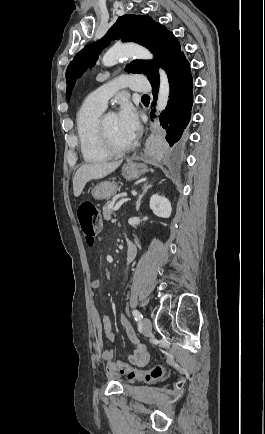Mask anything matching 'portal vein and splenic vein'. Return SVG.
<instances>
[{
	"label": "portal vein and splenic vein",
	"instance_id": "18ae733b",
	"mask_svg": "<svg viewBox=\"0 0 265 434\" xmlns=\"http://www.w3.org/2000/svg\"><path fill=\"white\" fill-rule=\"evenodd\" d=\"M128 200H130V198H125V200H120V202H117L115 208H113L114 212H116V210H119L120 206H122L124 202H128Z\"/></svg>",
	"mask_w": 265,
	"mask_h": 434
}]
</instances>
